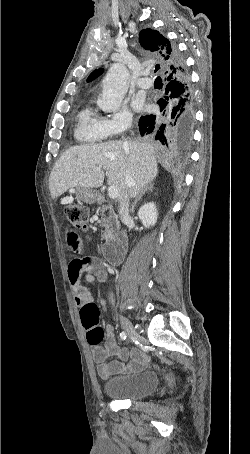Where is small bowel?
Masks as SVG:
<instances>
[{"instance_id":"obj_1","label":"small bowel","mask_w":250,"mask_h":454,"mask_svg":"<svg viewBox=\"0 0 250 454\" xmlns=\"http://www.w3.org/2000/svg\"><path fill=\"white\" fill-rule=\"evenodd\" d=\"M68 246L75 252H79L81 244L79 236L69 230L66 233ZM67 276L71 285L74 300L80 308L89 303H93V298L89 290L82 284V279L91 283L93 281L106 279V268L103 262L96 257L74 258L67 266ZM101 304L106 309L105 301ZM93 360L96 363L97 373L107 379L114 374L127 371H135L144 367L148 361L147 356L140 350L128 351L121 349L116 342L114 330L111 326H106L104 346L94 345L92 348ZM112 357L117 360L111 361Z\"/></svg>"}]
</instances>
